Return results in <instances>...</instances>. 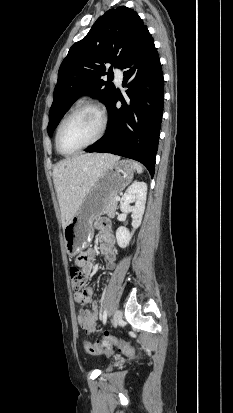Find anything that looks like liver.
Listing matches in <instances>:
<instances>
[{"label":"liver","mask_w":233,"mask_h":413,"mask_svg":"<svg viewBox=\"0 0 233 413\" xmlns=\"http://www.w3.org/2000/svg\"><path fill=\"white\" fill-rule=\"evenodd\" d=\"M117 160L118 157L110 154H83L55 165L53 181L63 229L77 212L100 174Z\"/></svg>","instance_id":"liver-1"}]
</instances>
